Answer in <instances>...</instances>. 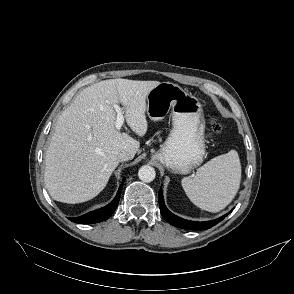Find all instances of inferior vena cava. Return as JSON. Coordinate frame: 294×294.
I'll list each match as a JSON object with an SVG mask.
<instances>
[{"label": "inferior vena cava", "mask_w": 294, "mask_h": 294, "mask_svg": "<svg viewBox=\"0 0 294 294\" xmlns=\"http://www.w3.org/2000/svg\"><path fill=\"white\" fill-rule=\"evenodd\" d=\"M133 156L128 151H122L118 154L119 161H128L131 160Z\"/></svg>", "instance_id": "602c4592"}]
</instances>
